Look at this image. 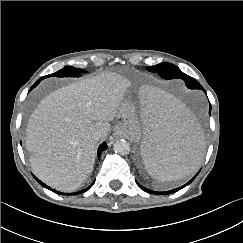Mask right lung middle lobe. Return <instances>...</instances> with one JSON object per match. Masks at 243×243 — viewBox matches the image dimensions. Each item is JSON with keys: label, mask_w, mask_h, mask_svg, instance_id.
<instances>
[{"label": "right lung middle lobe", "mask_w": 243, "mask_h": 243, "mask_svg": "<svg viewBox=\"0 0 243 243\" xmlns=\"http://www.w3.org/2000/svg\"><path fill=\"white\" fill-rule=\"evenodd\" d=\"M81 72H82V70H80V69H74L71 66H67V67H64L63 69L59 70L58 72L44 76L41 79H44L46 77H52V76H56V77H79V76H81V74H80Z\"/></svg>", "instance_id": "1"}]
</instances>
